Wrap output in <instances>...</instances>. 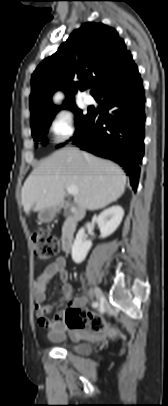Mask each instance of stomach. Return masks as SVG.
<instances>
[{"mask_svg": "<svg viewBox=\"0 0 168 406\" xmlns=\"http://www.w3.org/2000/svg\"><path fill=\"white\" fill-rule=\"evenodd\" d=\"M55 214H56V209L47 208V209L41 210L39 212L38 218L40 221L49 222L55 217Z\"/></svg>", "mask_w": 168, "mask_h": 406, "instance_id": "0dacf381", "label": "stomach"}]
</instances>
